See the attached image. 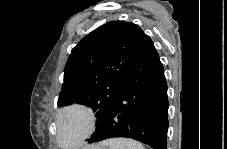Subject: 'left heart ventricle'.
<instances>
[{"mask_svg": "<svg viewBox=\"0 0 227 149\" xmlns=\"http://www.w3.org/2000/svg\"><path fill=\"white\" fill-rule=\"evenodd\" d=\"M86 122L80 113H73L62 124L61 136L66 143L74 141L85 129Z\"/></svg>", "mask_w": 227, "mask_h": 149, "instance_id": "left-heart-ventricle-1", "label": "left heart ventricle"}]
</instances>
